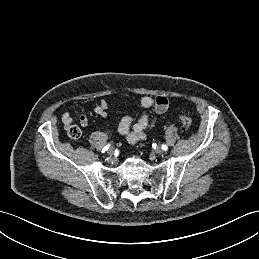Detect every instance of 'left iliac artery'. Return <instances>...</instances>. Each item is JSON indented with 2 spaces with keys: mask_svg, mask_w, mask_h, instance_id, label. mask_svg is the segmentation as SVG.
<instances>
[{
  "mask_svg": "<svg viewBox=\"0 0 259 259\" xmlns=\"http://www.w3.org/2000/svg\"><path fill=\"white\" fill-rule=\"evenodd\" d=\"M162 149H163L164 151H166V150L168 149V147L163 144V145H162Z\"/></svg>",
  "mask_w": 259,
  "mask_h": 259,
  "instance_id": "1",
  "label": "left iliac artery"
}]
</instances>
